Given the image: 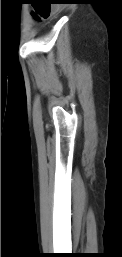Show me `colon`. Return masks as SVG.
Instances as JSON below:
<instances>
[{
	"instance_id": "colon-1",
	"label": "colon",
	"mask_w": 122,
	"mask_h": 257,
	"mask_svg": "<svg viewBox=\"0 0 122 257\" xmlns=\"http://www.w3.org/2000/svg\"><path fill=\"white\" fill-rule=\"evenodd\" d=\"M35 10V16L41 19L48 16V10H53V5H35Z\"/></svg>"
}]
</instances>
